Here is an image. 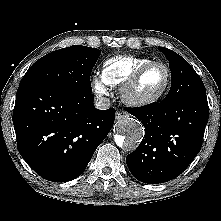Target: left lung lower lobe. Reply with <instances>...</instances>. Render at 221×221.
I'll list each match as a JSON object with an SVG mask.
<instances>
[{"label":"left lung lower lobe","mask_w":221,"mask_h":221,"mask_svg":"<svg viewBox=\"0 0 221 221\" xmlns=\"http://www.w3.org/2000/svg\"><path fill=\"white\" fill-rule=\"evenodd\" d=\"M126 110L146 130L138 148L126 157L137 180L148 184L170 181L199 153L209 116L206 95L185 97L175 103L162 100Z\"/></svg>","instance_id":"0a47b994"}]
</instances>
